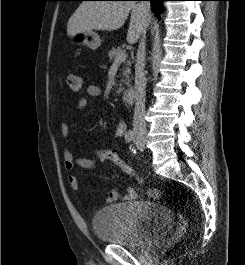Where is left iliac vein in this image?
I'll return each instance as SVG.
<instances>
[{"label":"left iliac vein","mask_w":245,"mask_h":265,"mask_svg":"<svg viewBox=\"0 0 245 265\" xmlns=\"http://www.w3.org/2000/svg\"><path fill=\"white\" fill-rule=\"evenodd\" d=\"M137 147H138V149L143 150V147H139L138 145H137Z\"/></svg>","instance_id":"obj_1"}]
</instances>
